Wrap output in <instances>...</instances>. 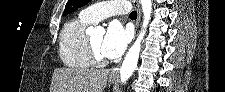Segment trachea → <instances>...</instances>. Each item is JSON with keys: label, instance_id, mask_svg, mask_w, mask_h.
<instances>
[{"label": "trachea", "instance_id": "1", "mask_svg": "<svg viewBox=\"0 0 225 92\" xmlns=\"http://www.w3.org/2000/svg\"><path fill=\"white\" fill-rule=\"evenodd\" d=\"M130 18H137V13H136V11H132V12L130 13Z\"/></svg>", "mask_w": 225, "mask_h": 92}]
</instances>
